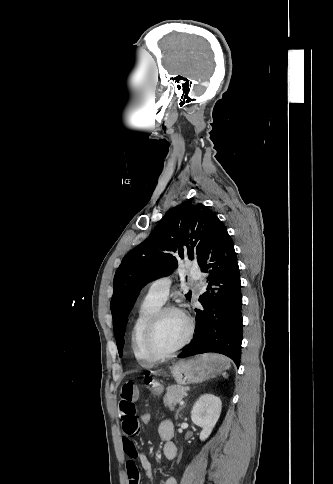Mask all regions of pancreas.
<instances>
[{"label": "pancreas", "mask_w": 333, "mask_h": 484, "mask_svg": "<svg viewBox=\"0 0 333 484\" xmlns=\"http://www.w3.org/2000/svg\"><path fill=\"white\" fill-rule=\"evenodd\" d=\"M187 387L181 385H171L166 389V395L163 399L164 405L173 408L187 395Z\"/></svg>", "instance_id": "cf45deb5"}]
</instances>
